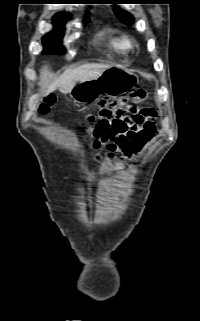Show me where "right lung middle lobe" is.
Instances as JSON below:
<instances>
[{
    "label": "right lung middle lobe",
    "instance_id": "right-lung-middle-lobe-1",
    "mask_svg": "<svg viewBox=\"0 0 200 321\" xmlns=\"http://www.w3.org/2000/svg\"><path fill=\"white\" fill-rule=\"evenodd\" d=\"M69 18L70 17L53 18V23L55 25L54 30L42 38L44 45L43 54H64L66 52L65 48L61 45V42L64 36V24ZM87 21L88 18L85 19L84 23H87Z\"/></svg>",
    "mask_w": 200,
    "mask_h": 321
}]
</instances>
